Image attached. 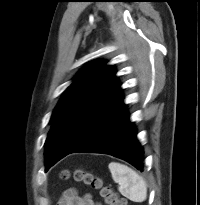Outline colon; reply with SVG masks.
<instances>
[{"mask_svg":"<svg viewBox=\"0 0 200 205\" xmlns=\"http://www.w3.org/2000/svg\"><path fill=\"white\" fill-rule=\"evenodd\" d=\"M61 176L63 179H68L72 176L74 180L99 190L100 196L106 205H127L126 200L120 197L111 185L105 184L102 177L89 168L79 167L72 172L65 170Z\"/></svg>","mask_w":200,"mask_h":205,"instance_id":"colon-1","label":"colon"}]
</instances>
